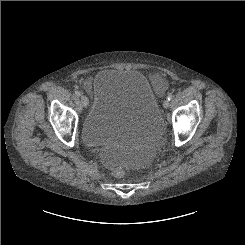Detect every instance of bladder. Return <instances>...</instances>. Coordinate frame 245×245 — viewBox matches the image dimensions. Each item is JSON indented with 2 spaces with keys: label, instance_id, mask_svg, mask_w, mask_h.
<instances>
[{
  "label": "bladder",
  "instance_id": "bladder-1",
  "mask_svg": "<svg viewBox=\"0 0 245 245\" xmlns=\"http://www.w3.org/2000/svg\"><path fill=\"white\" fill-rule=\"evenodd\" d=\"M163 127L158 98L141 72L108 68L98 74L80 128L84 145L135 146L155 138Z\"/></svg>",
  "mask_w": 245,
  "mask_h": 245
}]
</instances>
